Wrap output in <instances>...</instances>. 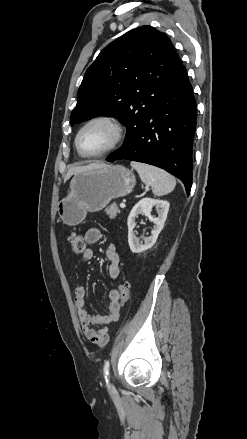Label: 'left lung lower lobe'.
Here are the masks:
<instances>
[{
    "mask_svg": "<svg viewBox=\"0 0 247 439\" xmlns=\"http://www.w3.org/2000/svg\"><path fill=\"white\" fill-rule=\"evenodd\" d=\"M195 125L196 103L185 70L158 96L135 134L106 160L127 159L162 168L178 177L189 195Z\"/></svg>",
    "mask_w": 247,
    "mask_h": 439,
    "instance_id": "1",
    "label": "left lung lower lobe"
}]
</instances>
